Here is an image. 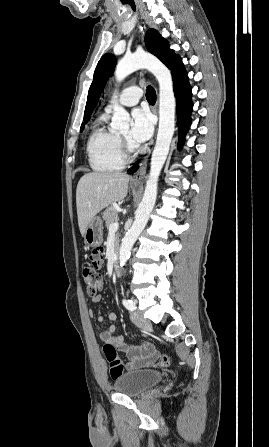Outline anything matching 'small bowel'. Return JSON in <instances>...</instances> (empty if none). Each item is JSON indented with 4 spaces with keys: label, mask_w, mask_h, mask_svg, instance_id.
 <instances>
[{
    "label": "small bowel",
    "mask_w": 269,
    "mask_h": 447,
    "mask_svg": "<svg viewBox=\"0 0 269 447\" xmlns=\"http://www.w3.org/2000/svg\"><path fill=\"white\" fill-rule=\"evenodd\" d=\"M101 301V297L96 295L92 297L93 303H98ZM90 316H95V311L90 310L89 312ZM117 319V315L114 312H110L107 315H100L98 316V322L99 323H105L107 320L115 321ZM115 327L112 325L107 330H104L100 333V339L105 343H111L114 346H116L120 351L126 354L128 358L127 367L129 369H140V368H146L145 364H150V358L151 357H158L159 352L157 351L156 347L151 342H145L146 347H152L154 349V354L152 356H131L129 354V349L131 347H137L130 346L124 342V339L121 335H115L114 334Z\"/></svg>",
    "instance_id": "obj_1"
}]
</instances>
